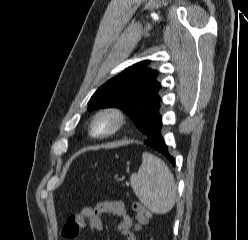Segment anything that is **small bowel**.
Here are the masks:
<instances>
[{
    "label": "small bowel",
    "mask_w": 248,
    "mask_h": 240,
    "mask_svg": "<svg viewBox=\"0 0 248 240\" xmlns=\"http://www.w3.org/2000/svg\"><path fill=\"white\" fill-rule=\"evenodd\" d=\"M103 214H111L119 220L115 227L117 233L126 240H136L132 232V218L127 213L124 203L119 200L100 201L96 206L84 207L80 212L70 215L62 228L61 237L64 240H75L88 227L94 231H101Z\"/></svg>",
    "instance_id": "small-bowel-1"
}]
</instances>
